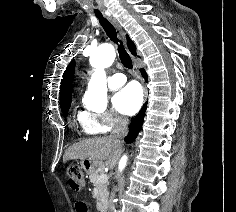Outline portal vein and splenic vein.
I'll list each match as a JSON object with an SVG mask.
<instances>
[{
    "mask_svg": "<svg viewBox=\"0 0 236 212\" xmlns=\"http://www.w3.org/2000/svg\"><path fill=\"white\" fill-rule=\"evenodd\" d=\"M99 180L100 181H106V180H108V177H107V175H100Z\"/></svg>",
    "mask_w": 236,
    "mask_h": 212,
    "instance_id": "portal-vein-and-splenic-vein-1",
    "label": "portal vein and splenic vein"
}]
</instances>
